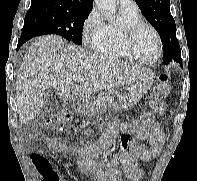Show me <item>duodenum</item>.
<instances>
[{
  "label": "duodenum",
  "instance_id": "1",
  "mask_svg": "<svg viewBox=\"0 0 197 181\" xmlns=\"http://www.w3.org/2000/svg\"><path fill=\"white\" fill-rule=\"evenodd\" d=\"M83 103L81 101H76L74 104L75 110L80 111L83 108Z\"/></svg>",
  "mask_w": 197,
  "mask_h": 181
}]
</instances>
